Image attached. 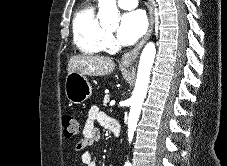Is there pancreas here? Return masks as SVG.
Here are the masks:
<instances>
[{"label":"pancreas","mask_w":227,"mask_h":166,"mask_svg":"<svg viewBox=\"0 0 227 166\" xmlns=\"http://www.w3.org/2000/svg\"><path fill=\"white\" fill-rule=\"evenodd\" d=\"M110 101V96L105 95L104 100H103V106H107Z\"/></svg>","instance_id":"pancreas-1"}]
</instances>
